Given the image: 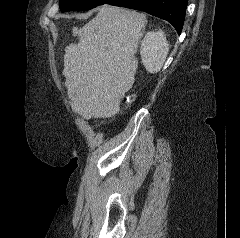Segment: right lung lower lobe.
<instances>
[{
	"label": "right lung lower lobe",
	"mask_w": 240,
	"mask_h": 238,
	"mask_svg": "<svg viewBox=\"0 0 240 238\" xmlns=\"http://www.w3.org/2000/svg\"><path fill=\"white\" fill-rule=\"evenodd\" d=\"M108 4L144 11L164 19L171 23L180 34L188 0H113Z\"/></svg>",
	"instance_id": "1"
}]
</instances>
